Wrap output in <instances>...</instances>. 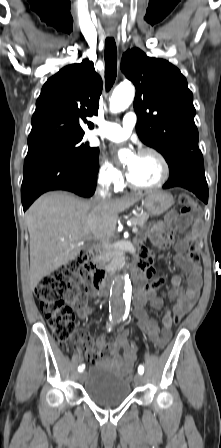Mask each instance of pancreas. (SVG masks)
<instances>
[{
    "mask_svg": "<svg viewBox=\"0 0 221 448\" xmlns=\"http://www.w3.org/2000/svg\"><path fill=\"white\" fill-rule=\"evenodd\" d=\"M147 214H138L130 219L134 226L144 227L148 220ZM102 261L107 265L108 269L114 270L121 265L122 257L119 252L106 247L101 254Z\"/></svg>",
    "mask_w": 221,
    "mask_h": 448,
    "instance_id": "cf45deb5",
    "label": "pancreas"
}]
</instances>
